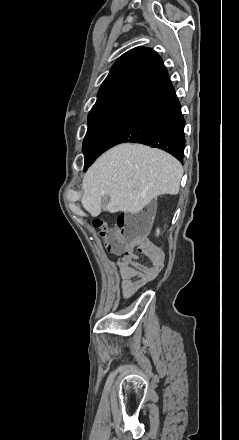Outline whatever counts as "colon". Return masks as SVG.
Wrapping results in <instances>:
<instances>
[{
	"instance_id": "5ec220e1",
	"label": "colon",
	"mask_w": 239,
	"mask_h": 440,
	"mask_svg": "<svg viewBox=\"0 0 239 440\" xmlns=\"http://www.w3.org/2000/svg\"><path fill=\"white\" fill-rule=\"evenodd\" d=\"M94 228L104 240L109 252L121 254L128 247L144 243L142 222L131 215L122 216L118 220V228H108L102 220L93 221Z\"/></svg>"
}]
</instances>
